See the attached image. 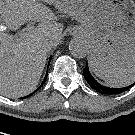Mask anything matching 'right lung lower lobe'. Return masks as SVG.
<instances>
[{"mask_svg": "<svg viewBox=\"0 0 135 135\" xmlns=\"http://www.w3.org/2000/svg\"><path fill=\"white\" fill-rule=\"evenodd\" d=\"M47 75H48V74H47V72H46V77H45L44 81L41 83V86L45 83L46 78H47ZM41 86H40V87H41ZM40 87H39V88H40ZM39 88H38V89H39ZM29 96H31V94H30V95H28V96H25V97H23V98H26V97H29Z\"/></svg>", "mask_w": 135, "mask_h": 135, "instance_id": "obj_1", "label": "right lung lower lobe"}]
</instances>
